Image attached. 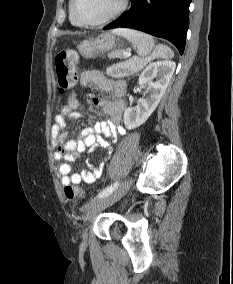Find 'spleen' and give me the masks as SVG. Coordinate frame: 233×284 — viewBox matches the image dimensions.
<instances>
[{"label": "spleen", "mask_w": 233, "mask_h": 284, "mask_svg": "<svg viewBox=\"0 0 233 284\" xmlns=\"http://www.w3.org/2000/svg\"><path fill=\"white\" fill-rule=\"evenodd\" d=\"M114 32L130 41L136 47L137 54L140 57H171L174 55L173 51L166 45L155 46L153 37L146 33L132 29H118Z\"/></svg>", "instance_id": "3e777b00"}]
</instances>
